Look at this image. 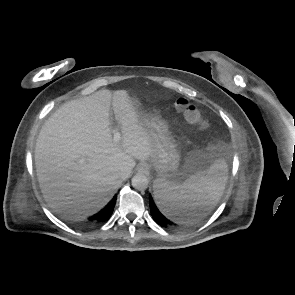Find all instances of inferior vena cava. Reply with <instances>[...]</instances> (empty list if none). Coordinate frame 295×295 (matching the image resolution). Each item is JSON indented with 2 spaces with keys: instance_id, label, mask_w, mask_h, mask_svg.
Masks as SVG:
<instances>
[{
  "instance_id": "602c4592",
  "label": "inferior vena cava",
  "mask_w": 295,
  "mask_h": 295,
  "mask_svg": "<svg viewBox=\"0 0 295 295\" xmlns=\"http://www.w3.org/2000/svg\"><path fill=\"white\" fill-rule=\"evenodd\" d=\"M122 179H123V180L126 179V176H122Z\"/></svg>"
}]
</instances>
